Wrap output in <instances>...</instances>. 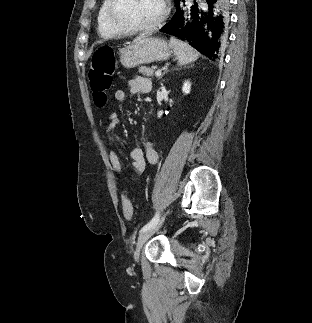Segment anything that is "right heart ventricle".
<instances>
[{"instance_id": "obj_1", "label": "right heart ventricle", "mask_w": 312, "mask_h": 323, "mask_svg": "<svg viewBox=\"0 0 312 323\" xmlns=\"http://www.w3.org/2000/svg\"><path fill=\"white\" fill-rule=\"evenodd\" d=\"M112 7L109 1H100L96 5L93 19L96 20V33H114L115 29H120V22H114L111 15Z\"/></svg>"}]
</instances>
